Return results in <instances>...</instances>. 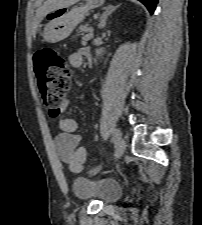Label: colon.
<instances>
[{"label": "colon", "mask_w": 202, "mask_h": 225, "mask_svg": "<svg viewBox=\"0 0 202 225\" xmlns=\"http://www.w3.org/2000/svg\"><path fill=\"white\" fill-rule=\"evenodd\" d=\"M38 86L49 116L56 119L66 93L71 86L72 73L64 58L52 49H43L35 55ZM76 165H72L75 169Z\"/></svg>", "instance_id": "colon-1"}]
</instances>
